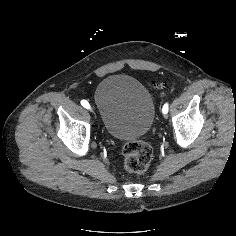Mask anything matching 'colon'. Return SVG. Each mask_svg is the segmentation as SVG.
Instances as JSON below:
<instances>
[{
    "mask_svg": "<svg viewBox=\"0 0 236 236\" xmlns=\"http://www.w3.org/2000/svg\"><path fill=\"white\" fill-rule=\"evenodd\" d=\"M155 87L162 89L163 83H156ZM124 168L129 174H141L145 172L153 158L152 147L143 141H129L123 147Z\"/></svg>",
    "mask_w": 236,
    "mask_h": 236,
    "instance_id": "1",
    "label": "colon"
}]
</instances>
